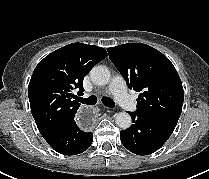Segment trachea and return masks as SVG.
Here are the masks:
<instances>
[{"mask_svg":"<svg viewBox=\"0 0 209 179\" xmlns=\"http://www.w3.org/2000/svg\"><path fill=\"white\" fill-rule=\"evenodd\" d=\"M78 101L83 103V104L95 105L97 103V98H96V96L92 95V96H90L88 98H81L80 97V98H78ZM102 102L107 107L113 108L115 106L114 101L109 99V98H103Z\"/></svg>","mask_w":209,"mask_h":179,"instance_id":"obj_1","label":"trachea"}]
</instances>
